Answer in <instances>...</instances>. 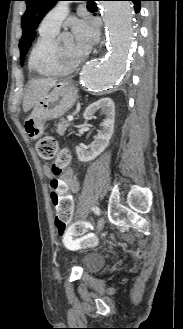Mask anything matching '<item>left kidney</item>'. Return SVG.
<instances>
[{
    "label": "left kidney",
    "instance_id": "1",
    "mask_svg": "<svg viewBox=\"0 0 183 329\" xmlns=\"http://www.w3.org/2000/svg\"><path fill=\"white\" fill-rule=\"evenodd\" d=\"M101 109L106 118L102 122V129L98 131L95 140L92 142L90 151L84 150L82 147H76V154L81 162H89L100 155L108 146L114 131V119H115V105L111 98H102L92 104H90L83 116L85 120H91L93 115Z\"/></svg>",
    "mask_w": 183,
    "mask_h": 329
}]
</instances>
